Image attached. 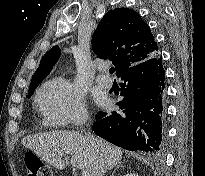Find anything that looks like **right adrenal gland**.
Segmentation results:
<instances>
[{"mask_svg":"<svg viewBox=\"0 0 205 176\" xmlns=\"http://www.w3.org/2000/svg\"><path fill=\"white\" fill-rule=\"evenodd\" d=\"M123 167H124V166H123L121 163L117 164V165H116V168L113 170L111 176H114V173H115L116 169L123 168Z\"/></svg>","mask_w":205,"mask_h":176,"instance_id":"1","label":"right adrenal gland"}]
</instances>
